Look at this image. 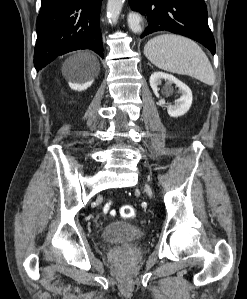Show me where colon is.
Instances as JSON below:
<instances>
[{
    "label": "colon",
    "instance_id": "1",
    "mask_svg": "<svg viewBox=\"0 0 247 299\" xmlns=\"http://www.w3.org/2000/svg\"><path fill=\"white\" fill-rule=\"evenodd\" d=\"M121 216L126 219H132L135 216V208L132 205H124L120 210Z\"/></svg>",
    "mask_w": 247,
    "mask_h": 299
}]
</instances>
